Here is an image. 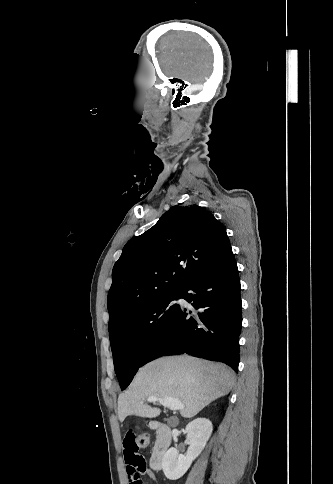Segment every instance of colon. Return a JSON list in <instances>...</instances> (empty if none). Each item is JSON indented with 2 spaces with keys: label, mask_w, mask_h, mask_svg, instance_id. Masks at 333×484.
<instances>
[{
  "label": "colon",
  "mask_w": 333,
  "mask_h": 484,
  "mask_svg": "<svg viewBox=\"0 0 333 484\" xmlns=\"http://www.w3.org/2000/svg\"><path fill=\"white\" fill-rule=\"evenodd\" d=\"M136 444L139 448H145L149 444V436L147 434H140L136 438Z\"/></svg>",
  "instance_id": "5ec220e1"
}]
</instances>
